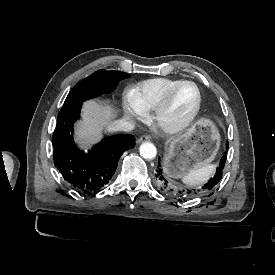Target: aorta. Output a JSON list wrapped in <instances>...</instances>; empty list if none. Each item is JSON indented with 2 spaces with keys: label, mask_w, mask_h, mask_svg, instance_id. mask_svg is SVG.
<instances>
[{
  "label": "aorta",
  "mask_w": 275,
  "mask_h": 275,
  "mask_svg": "<svg viewBox=\"0 0 275 275\" xmlns=\"http://www.w3.org/2000/svg\"><path fill=\"white\" fill-rule=\"evenodd\" d=\"M140 155L147 160L154 159L157 156L156 146L150 142L141 144Z\"/></svg>",
  "instance_id": "762f6f07"
}]
</instances>
